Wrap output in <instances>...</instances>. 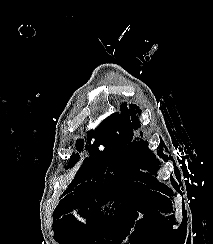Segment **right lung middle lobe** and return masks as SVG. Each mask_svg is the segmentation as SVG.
Wrapping results in <instances>:
<instances>
[{
  "instance_id": "obj_1",
  "label": "right lung middle lobe",
  "mask_w": 213,
  "mask_h": 244,
  "mask_svg": "<svg viewBox=\"0 0 213 244\" xmlns=\"http://www.w3.org/2000/svg\"><path fill=\"white\" fill-rule=\"evenodd\" d=\"M102 128L103 126H100L98 131H96V142L91 146L90 157L86 158L83 166L70 184L72 188L85 180L87 183H91L100 176H109L112 179L114 175L127 167L126 161L121 155V149L123 148L121 140L113 133L110 126L105 129ZM93 135V132H88V139L92 138ZM100 144L105 145L103 152L98 149ZM77 149H82V141L78 142ZM78 158L79 155L73 153L67 168L72 167ZM87 175L90 176L87 177Z\"/></svg>"
}]
</instances>
